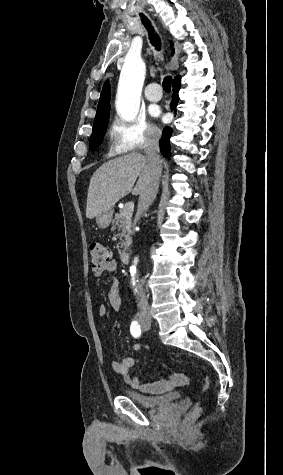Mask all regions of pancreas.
Wrapping results in <instances>:
<instances>
[{
  "label": "pancreas",
  "instance_id": "1",
  "mask_svg": "<svg viewBox=\"0 0 283 475\" xmlns=\"http://www.w3.org/2000/svg\"><path fill=\"white\" fill-rule=\"evenodd\" d=\"M131 216V210H127V206H124V208L119 210V214H115V218L112 222V228H114V230H118V232L122 230V232L118 234V236H121L120 245H118L119 253H126L130 243H132Z\"/></svg>",
  "mask_w": 283,
  "mask_h": 475
}]
</instances>
